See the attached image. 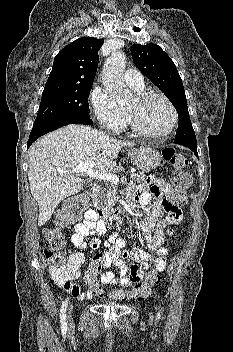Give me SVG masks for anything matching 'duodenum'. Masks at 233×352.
<instances>
[{
    "label": "duodenum",
    "mask_w": 233,
    "mask_h": 352,
    "mask_svg": "<svg viewBox=\"0 0 233 352\" xmlns=\"http://www.w3.org/2000/svg\"><path fill=\"white\" fill-rule=\"evenodd\" d=\"M98 191H99V186L96 184L93 185L89 190V196L93 199L97 195ZM95 213L99 222L102 223L103 225H107L123 217L124 209L119 207L113 208L110 210H104V209L98 208L95 211Z\"/></svg>",
    "instance_id": "1"
}]
</instances>
